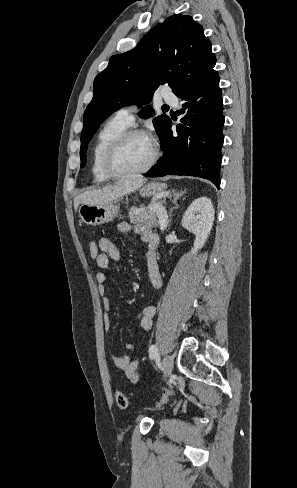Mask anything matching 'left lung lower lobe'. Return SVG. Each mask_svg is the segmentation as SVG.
<instances>
[{
    "mask_svg": "<svg viewBox=\"0 0 297 488\" xmlns=\"http://www.w3.org/2000/svg\"><path fill=\"white\" fill-rule=\"evenodd\" d=\"M219 75L213 72L202 84L180 97L184 101V117L171 130L169 121L161 141L164 154L144 174L147 177L188 175L208 179L220 187L223 99Z\"/></svg>",
    "mask_w": 297,
    "mask_h": 488,
    "instance_id": "obj_1",
    "label": "left lung lower lobe"
}]
</instances>
